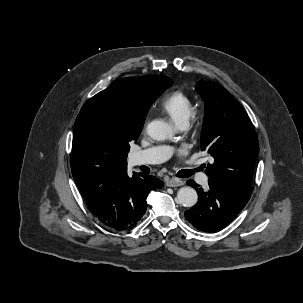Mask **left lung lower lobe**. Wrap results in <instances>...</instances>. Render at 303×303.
Listing matches in <instances>:
<instances>
[{"mask_svg": "<svg viewBox=\"0 0 303 303\" xmlns=\"http://www.w3.org/2000/svg\"><path fill=\"white\" fill-rule=\"evenodd\" d=\"M187 184L197 191L198 202L185 212V218L204 232L218 231L229 224L249 200L233 188L211 178L207 192L193 180Z\"/></svg>", "mask_w": 303, "mask_h": 303, "instance_id": "0a47b994", "label": "left lung lower lobe"}]
</instances>
